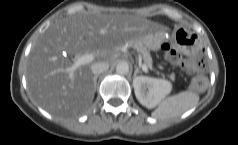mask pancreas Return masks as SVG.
Instances as JSON below:
<instances>
[{
	"label": "pancreas",
	"instance_id": "pancreas-1",
	"mask_svg": "<svg viewBox=\"0 0 238 145\" xmlns=\"http://www.w3.org/2000/svg\"><path fill=\"white\" fill-rule=\"evenodd\" d=\"M130 46L136 50L138 53H140L143 57L144 60V64L149 68V69H153L152 64V57L151 54L149 52V50L147 49V47L144 45V43L140 40H135V41H130ZM158 73V72H157ZM169 78L174 81L175 79V75L171 74L169 75Z\"/></svg>",
	"mask_w": 238,
	"mask_h": 145
}]
</instances>
